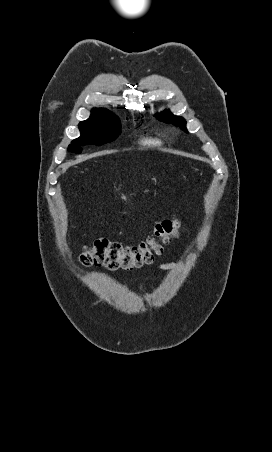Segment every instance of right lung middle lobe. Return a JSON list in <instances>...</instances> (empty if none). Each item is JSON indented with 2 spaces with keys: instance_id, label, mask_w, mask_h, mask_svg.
Segmentation results:
<instances>
[{
  "instance_id": "dd1d6c3e",
  "label": "right lung middle lobe",
  "mask_w": 272,
  "mask_h": 452,
  "mask_svg": "<svg viewBox=\"0 0 272 452\" xmlns=\"http://www.w3.org/2000/svg\"><path fill=\"white\" fill-rule=\"evenodd\" d=\"M81 136L68 146L69 152L81 153L80 146L87 144L101 145L111 142L120 134L118 118L111 112L79 124Z\"/></svg>"
}]
</instances>
